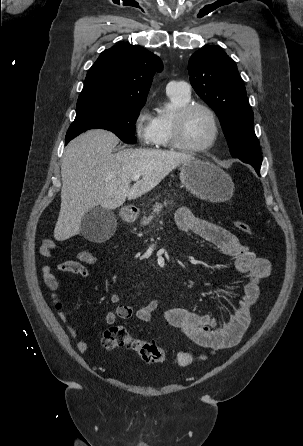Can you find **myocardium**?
I'll return each mask as SVG.
<instances>
[{"mask_svg":"<svg viewBox=\"0 0 303 446\" xmlns=\"http://www.w3.org/2000/svg\"><path fill=\"white\" fill-rule=\"evenodd\" d=\"M196 109H201L207 113L212 124V136L210 140L202 146L187 145L182 138L183 126L187 116ZM220 127L216 113L214 110L201 102H190L178 109L171 120V143L172 146L180 151L187 153H203L210 150L219 138Z\"/></svg>","mask_w":303,"mask_h":446,"instance_id":"f54148a6","label":"myocardium"}]
</instances>
